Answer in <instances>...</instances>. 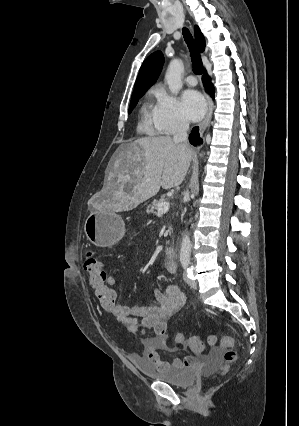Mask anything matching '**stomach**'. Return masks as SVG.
<instances>
[{
	"label": "stomach",
	"instance_id": "stomach-1",
	"mask_svg": "<svg viewBox=\"0 0 299 426\" xmlns=\"http://www.w3.org/2000/svg\"><path fill=\"white\" fill-rule=\"evenodd\" d=\"M87 239L98 247H111L119 242L125 233L122 217L114 210L103 207L90 213L84 225Z\"/></svg>",
	"mask_w": 299,
	"mask_h": 426
}]
</instances>
